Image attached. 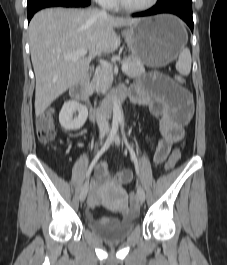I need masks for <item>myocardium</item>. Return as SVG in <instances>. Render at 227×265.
<instances>
[{"label":"myocardium","mask_w":227,"mask_h":265,"mask_svg":"<svg viewBox=\"0 0 227 265\" xmlns=\"http://www.w3.org/2000/svg\"><path fill=\"white\" fill-rule=\"evenodd\" d=\"M157 2L158 0H150L148 3L141 5V6H130V5H127L123 0H117V3L120 6V8H122L123 10L127 12H131V13H139V12L147 11L151 9L152 7H154L157 4Z\"/></svg>","instance_id":"f54148a6"}]
</instances>
